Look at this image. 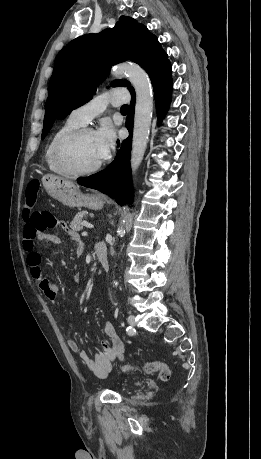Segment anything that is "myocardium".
<instances>
[{
	"instance_id": "f54148a6",
	"label": "myocardium",
	"mask_w": 261,
	"mask_h": 459,
	"mask_svg": "<svg viewBox=\"0 0 261 459\" xmlns=\"http://www.w3.org/2000/svg\"><path fill=\"white\" fill-rule=\"evenodd\" d=\"M93 130L88 127H78L59 138L54 148V162L60 171L69 176H89L100 170L103 162L100 161L95 166L88 169H76L67 161L69 147L85 134H92Z\"/></svg>"
}]
</instances>
